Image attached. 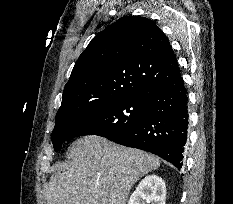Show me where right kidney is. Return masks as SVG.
Listing matches in <instances>:
<instances>
[{
  "label": "right kidney",
  "mask_w": 233,
  "mask_h": 204,
  "mask_svg": "<svg viewBox=\"0 0 233 204\" xmlns=\"http://www.w3.org/2000/svg\"><path fill=\"white\" fill-rule=\"evenodd\" d=\"M166 185L157 175H148L132 193L128 204H165Z\"/></svg>",
  "instance_id": "ca27d5eb"
}]
</instances>
